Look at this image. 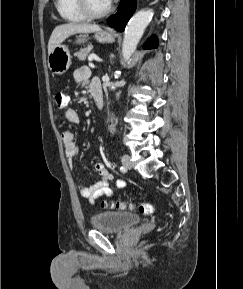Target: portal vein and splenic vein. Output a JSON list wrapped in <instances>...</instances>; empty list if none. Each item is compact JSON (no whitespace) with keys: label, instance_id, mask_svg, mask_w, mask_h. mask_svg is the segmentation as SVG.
Instances as JSON below:
<instances>
[{"label":"portal vein and splenic vein","instance_id":"portal-vein-and-splenic-vein-1","mask_svg":"<svg viewBox=\"0 0 243 289\" xmlns=\"http://www.w3.org/2000/svg\"><path fill=\"white\" fill-rule=\"evenodd\" d=\"M95 60V61H102L100 58H98L96 55H90L88 57V61H89V66H93L92 64V61Z\"/></svg>","mask_w":243,"mask_h":289}]
</instances>
